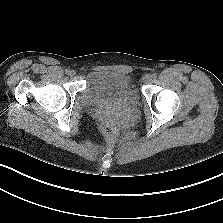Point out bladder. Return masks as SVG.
Returning <instances> with one entry per match:
<instances>
[{
  "instance_id": "31cf9c89",
  "label": "bladder",
  "mask_w": 223,
  "mask_h": 223,
  "mask_svg": "<svg viewBox=\"0 0 223 223\" xmlns=\"http://www.w3.org/2000/svg\"><path fill=\"white\" fill-rule=\"evenodd\" d=\"M82 98L87 105L115 103L136 106L139 101L132 78L112 71L92 72L87 78Z\"/></svg>"
}]
</instances>
